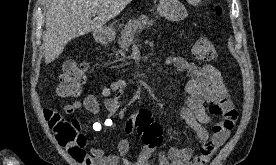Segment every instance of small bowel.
<instances>
[{
    "label": "small bowel",
    "instance_id": "obj_1",
    "mask_svg": "<svg viewBox=\"0 0 276 165\" xmlns=\"http://www.w3.org/2000/svg\"><path fill=\"white\" fill-rule=\"evenodd\" d=\"M166 65L174 67L177 71L184 72L189 77L185 87L186 102L181 108L180 115L184 122L202 140L203 146L200 153L192 157L190 149L173 148L161 152L158 165H207L214 153L221 147L230 135L238 118V112L229 99V94L223 82L220 71L213 65L202 66L189 61L181 56H171L166 59ZM126 83L123 79L116 80L101 90L104 98L103 105L108 113V118L101 122H94L91 128L95 131L102 130L113 124L114 116L119 108L121 98L125 91ZM84 108L91 114H98L101 104L94 94H87L82 101L76 100L63 107L66 115H72ZM52 110L45 109L44 116L48 121V114ZM212 116L220 117L213 125L212 134L209 135L204 127L211 122ZM79 124L77 119L72 118ZM68 153L77 165H151L153 151L144 147L136 160L127 158L130 143L121 139L114 153L107 154L103 149H86V139L82 135V144L65 146Z\"/></svg>",
    "mask_w": 276,
    "mask_h": 165
}]
</instances>
